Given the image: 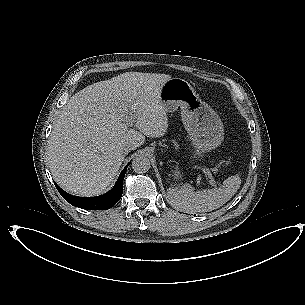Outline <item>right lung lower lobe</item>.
Listing matches in <instances>:
<instances>
[{
    "mask_svg": "<svg viewBox=\"0 0 305 305\" xmlns=\"http://www.w3.org/2000/svg\"><path fill=\"white\" fill-rule=\"evenodd\" d=\"M129 164L121 172L114 187L106 194L97 197H76L66 193L58 185H56L59 193L62 197L72 204L73 206L86 209V210H106L111 208L115 203H117L123 192V179L126 174V170Z\"/></svg>",
    "mask_w": 305,
    "mask_h": 305,
    "instance_id": "obj_1",
    "label": "right lung lower lobe"
}]
</instances>
